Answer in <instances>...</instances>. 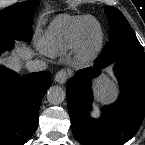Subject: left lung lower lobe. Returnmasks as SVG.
<instances>
[{
	"instance_id": "obj_1",
	"label": "left lung lower lobe",
	"mask_w": 145,
	"mask_h": 145,
	"mask_svg": "<svg viewBox=\"0 0 145 145\" xmlns=\"http://www.w3.org/2000/svg\"><path fill=\"white\" fill-rule=\"evenodd\" d=\"M112 63H116L114 70L121 93L115 103L104 109L100 119H91V80ZM66 90L72 130L80 143L122 145L136 134L145 116V62L112 61L102 52L94 67L76 72Z\"/></svg>"
}]
</instances>
